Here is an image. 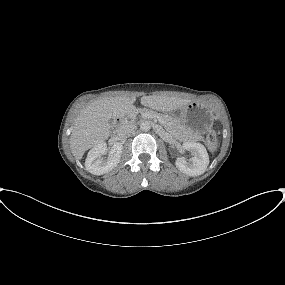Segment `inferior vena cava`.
Instances as JSON below:
<instances>
[{"instance_id":"602c4592","label":"inferior vena cava","mask_w":285,"mask_h":285,"mask_svg":"<svg viewBox=\"0 0 285 285\" xmlns=\"http://www.w3.org/2000/svg\"><path fill=\"white\" fill-rule=\"evenodd\" d=\"M136 130V125L133 123H127L120 126L117 129V136L121 139L129 137Z\"/></svg>"}]
</instances>
